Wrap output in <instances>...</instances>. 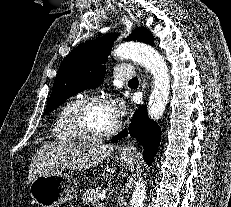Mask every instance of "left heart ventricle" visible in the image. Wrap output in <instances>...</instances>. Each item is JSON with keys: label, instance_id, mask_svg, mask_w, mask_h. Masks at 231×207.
I'll return each instance as SVG.
<instances>
[{"label": "left heart ventricle", "instance_id": "obj_1", "mask_svg": "<svg viewBox=\"0 0 231 207\" xmlns=\"http://www.w3.org/2000/svg\"><path fill=\"white\" fill-rule=\"evenodd\" d=\"M84 125L93 133L108 131L117 119L111 114L109 107L104 103H94L86 106L81 114Z\"/></svg>", "mask_w": 231, "mask_h": 207}]
</instances>
